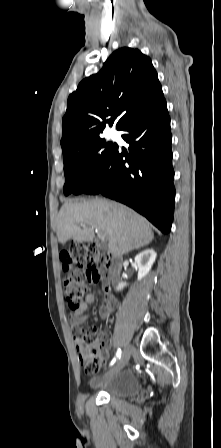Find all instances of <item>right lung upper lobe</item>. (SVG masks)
Returning a JSON list of instances; mask_svg holds the SVG:
<instances>
[{
	"instance_id": "obj_1",
	"label": "right lung upper lobe",
	"mask_w": 221,
	"mask_h": 448,
	"mask_svg": "<svg viewBox=\"0 0 221 448\" xmlns=\"http://www.w3.org/2000/svg\"><path fill=\"white\" fill-rule=\"evenodd\" d=\"M163 94L149 57L124 47L107 59L102 69L80 82L67 102L63 117V159L101 138L106 125L118 119L116 129L135 112Z\"/></svg>"
}]
</instances>
